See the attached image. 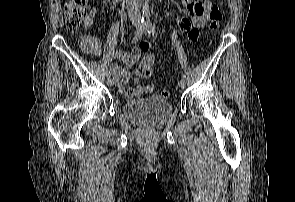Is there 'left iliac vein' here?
Wrapping results in <instances>:
<instances>
[{"instance_id":"4c4485c4","label":"left iliac vein","mask_w":295,"mask_h":202,"mask_svg":"<svg viewBox=\"0 0 295 202\" xmlns=\"http://www.w3.org/2000/svg\"><path fill=\"white\" fill-rule=\"evenodd\" d=\"M178 86L180 88H184L186 86V80L184 79H181L179 82H178Z\"/></svg>"}]
</instances>
